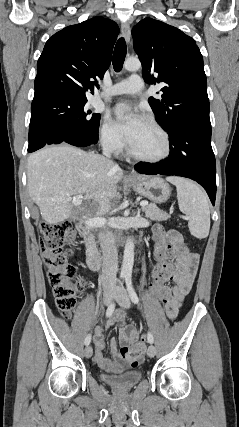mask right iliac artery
I'll use <instances>...</instances> for the list:
<instances>
[{"label": "right iliac artery", "mask_w": 239, "mask_h": 427, "mask_svg": "<svg viewBox=\"0 0 239 427\" xmlns=\"http://www.w3.org/2000/svg\"><path fill=\"white\" fill-rule=\"evenodd\" d=\"M114 309H115V304H114V303H111V304L108 306V308H107L106 316H107V317H110V316L112 315V313H113ZM90 342H91V334H88V335L86 336V338H85L84 343H85V345H89V344H90Z\"/></svg>", "instance_id": "1"}]
</instances>
